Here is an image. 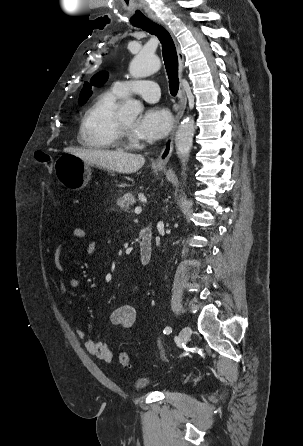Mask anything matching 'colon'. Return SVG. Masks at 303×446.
<instances>
[{
	"mask_svg": "<svg viewBox=\"0 0 303 446\" xmlns=\"http://www.w3.org/2000/svg\"><path fill=\"white\" fill-rule=\"evenodd\" d=\"M35 159L38 163H42L45 165L48 173H52L53 161H52V158L48 154H46L42 151H38L35 153ZM118 362L122 367H125V368L130 367V359H129L128 354L125 352L119 353Z\"/></svg>",
	"mask_w": 303,
	"mask_h": 446,
	"instance_id": "colon-1",
	"label": "colon"
}]
</instances>
